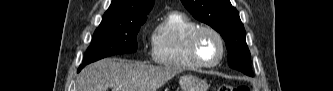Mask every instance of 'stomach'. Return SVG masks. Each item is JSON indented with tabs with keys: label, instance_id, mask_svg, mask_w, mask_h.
<instances>
[{
	"label": "stomach",
	"instance_id": "1",
	"mask_svg": "<svg viewBox=\"0 0 333 91\" xmlns=\"http://www.w3.org/2000/svg\"><path fill=\"white\" fill-rule=\"evenodd\" d=\"M179 84L182 91H207L208 88L205 80L191 75L181 76Z\"/></svg>",
	"mask_w": 333,
	"mask_h": 91
}]
</instances>
